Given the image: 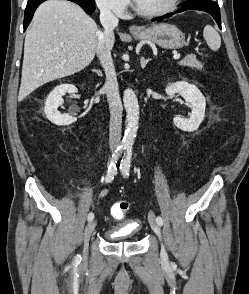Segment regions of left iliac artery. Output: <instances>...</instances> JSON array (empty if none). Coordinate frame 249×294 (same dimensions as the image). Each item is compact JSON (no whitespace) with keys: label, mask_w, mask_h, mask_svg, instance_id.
<instances>
[{"label":"left iliac artery","mask_w":249,"mask_h":294,"mask_svg":"<svg viewBox=\"0 0 249 294\" xmlns=\"http://www.w3.org/2000/svg\"><path fill=\"white\" fill-rule=\"evenodd\" d=\"M132 151H133L132 145H128L125 148V154H124L123 159L121 160L120 169H121L122 174L124 176H129V169H130V164H131ZM156 222L161 226L163 224L162 217L157 216L156 217Z\"/></svg>","instance_id":"44dca946"}]
</instances>
